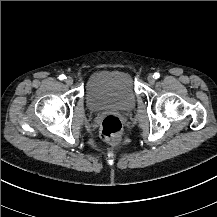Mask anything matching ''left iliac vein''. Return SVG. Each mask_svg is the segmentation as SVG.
Returning a JSON list of instances; mask_svg holds the SVG:
<instances>
[{"mask_svg":"<svg viewBox=\"0 0 217 217\" xmlns=\"http://www.w3.org/2000/svg\"><path fill=\"white\" fill-rule=\"evenodd\" d=\"M147 81L150 83V84H154L155 83V78L153 75H149L147 77Z\"/></svg>","mask_w":217,"mask_h":217,"instance_id":"left-iliac-vein-1","label":"left iliac vein"}]
</instances>
